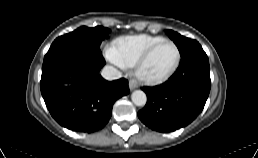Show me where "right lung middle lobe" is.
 Listing matches in <instances>:
<instances>
[{
    "label": "right lung middle lobe",
    "mask_w": 258,
    "mask_h": 158,
    "mask_svg": "<svg viewBox=\"0 0 258 158\" xmlns=\"http://www.w3.org/2000/svg\"><path fill=\"white\" fill-rule=\"evenodd\" d=\"M110 30L101 26L94 28L80 27L73 32L58 37L48 52L61 48H86L100 52V44L108 37Z\"/></svg>",
    "instance_id": "dd1d6c3e"
}]
</instances>
